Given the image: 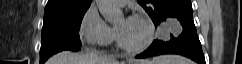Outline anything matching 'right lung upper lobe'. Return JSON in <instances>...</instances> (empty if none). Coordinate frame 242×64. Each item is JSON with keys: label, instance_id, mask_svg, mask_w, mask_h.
Here are the masks:
<instances>
[{"label": "right lung upper lobe", "instance_id": "1", "mask_svg": "<svg viewBox=\"0 0 242 64\" xmlns=\"http://www.w3.org/2000/svg\"><path fill=\"white\" fill-rule=\"evenodd\" d=\"M92 0H48L45 15L58 13H78L87 11Z\"/></svg>", "mask_w": 242, "mask_h": 64}]
</instances>
